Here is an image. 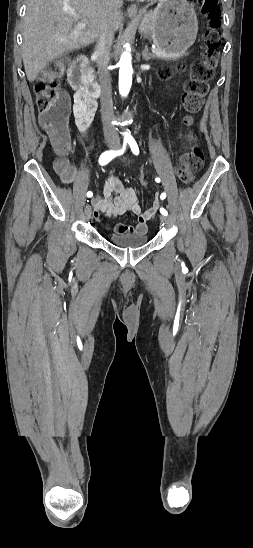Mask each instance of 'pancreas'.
I'll return each mask as SVG.
<instances>
[{
    "label": "pancreas",
    "mask_w": 253,
    "mask_h": 548,
    "mask_svg": "<svg viewBox=\"0 0 253 548\" xmlns=\"http://www.w3.org/2000/svg\"><path fill=\"white\" fill-rule=\"evenodd\" d=\"M154 52V57L158 58V59H162V60H175V59H178L179 57H181L183 54H173V53H168L162 49H160L159 47L156 48L155 50H153Z\"/></svg>",
    "instance_id": "pancreas-1"
}]
</instances>
